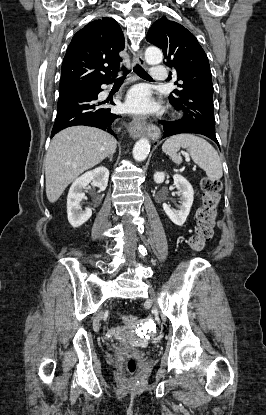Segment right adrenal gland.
<instances>
[{
  "mask_svg": "<svg viewBox=\"0 0 266 415\" xmlns=\"http://www.w3.org/2000/svg\"><path fill=\"white\" fill-rule=\"evenodd\" d=\"M108 159H109L110 161H112V159H113V154H111L110 156H108Z\"/></svg>",
  "mask_w": 266,
  "mask_h": 415,
  "instance_id": "right-adrenal-gland-1",
  "label": "right adrenal gland"
}]
</instances>
